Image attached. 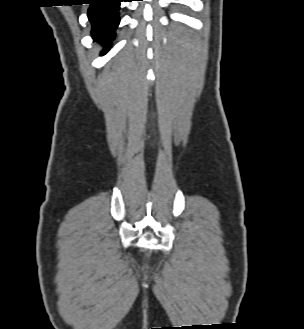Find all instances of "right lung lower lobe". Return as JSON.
<instances>
[{"label": "right lung lower lobe", "mask_w": 304, "mask_h": 329, "mask_svg": "<svg viewBox=\"0 0 304 329\" xmlns=\"http://www.w3.org/2000/svg\"><path fill=\"white\" fill-rule=\"evenodd\" d=\"M122 0H90L88 18L92 24V37L94 41L103 42L105 54L108 50V40L115 36V30L119 25L118 11Z\"/></svg>", "instance_id": "1"}]
</instances>
